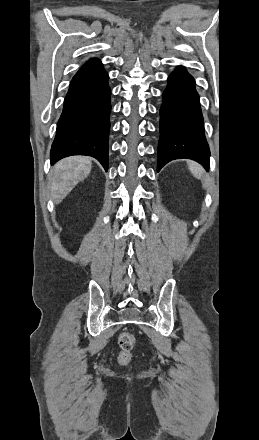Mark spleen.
Instances as JSON below:
<instances>
[{"label":"spleen","mask_w":259,"mask_h":440,"mask_svg":"<svg viewBox=\"0 0 259 440\" xmlns=\"http://www.w3.org/2000/svg\"><path fill=\"white\" fill-rule=\"evenodd\" d=\"M189 169L191 171V173L194 175L195 178L197 179H201L203 176V169L200 165H198L197 163L191 162L189 163ZM204 187H207V183H204Z\"/></svg>","instance_id":"obj_1"}]
</instances>
